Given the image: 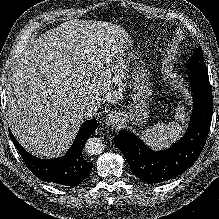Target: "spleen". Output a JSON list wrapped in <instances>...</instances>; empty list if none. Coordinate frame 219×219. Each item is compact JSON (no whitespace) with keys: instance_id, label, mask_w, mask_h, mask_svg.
Masks as SVG:
<instances>
[{"instance_id":"1","label":"spleen","mask_w":219,"mask_h":219,"mask_svg":"<svg viewBox=\"0 0 219 219\" xmlns=\"http://www.w3.org/2000/svg\"><path fill=\"white\" fill-rule=\"evenodd\" d=\"M186 112L184 106H178L175 119L178 122H185ZM183 126L177 122L169 124L158 123L142 132V140L152 149H162L175 142L183 132Z\"/></svg>"}]
</instances>
